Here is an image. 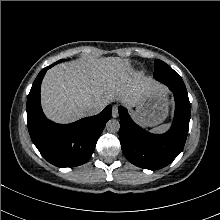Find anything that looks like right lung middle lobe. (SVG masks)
Wrapping results in <instances>:
<instances>
[{"instance_id":"obj_1","label":"right lung middle lobe","mask_w":220,"mask_h":220,"mask_svg":"<svg viewBox=\"0 0 220 220\" xmlns=\"http://www.w3.org/2000/svg\"><path fill=\"white\" fill-rule=\"evenodd\" d=\"M62 61H64V59L57 61L55 64L60 63V62H62Z\"/></svg>"}]
</instances>
